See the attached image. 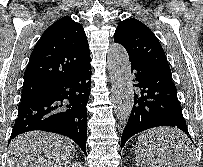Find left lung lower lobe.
<instances>
[{
    "label": "left lung lower lobe",
    "instance_id": "left-lung-lower-lobe-1",
    "mask_svg": "<svg viewBox=\"0 0 203 167\" xmlns=\"http://www.w3.org/2000/svg\"><path fill=\"white\" fill-rule=\"evenodd\" d=\"M129 60L134 86L138 88V93L134 92V105L121 137V148L133 135L157 126L179 128L192 141L172 75L158 71L138 59L129 58ZM172 150L182 154L186 151V146L175 143Z\"/></svg>",
    "mask_w": 203,
    "mask_h": 167
}]
</instances>
